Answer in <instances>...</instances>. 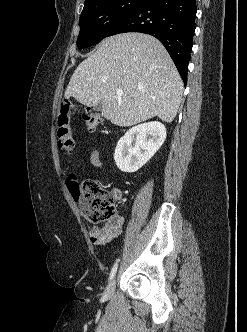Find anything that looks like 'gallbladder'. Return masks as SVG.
I'll list each match as a JSON object with an SVG mask.
<instances>
[{"mask_svg":"<svg viewBox=\"0 0 247 332\" xmlns=\"http://www.w3.org/2000/svg\"><path fill=\"white\" fill-rule=\"evenodd\" d=\"M101 108H102V103H99L98 105H96L94 107V109L97 110V111L101 110Z\"/></svg>","mask_w":247,"mask_h":332,"instance_id":"bac80fb5","label":"gallbladder"}]
</instances>
